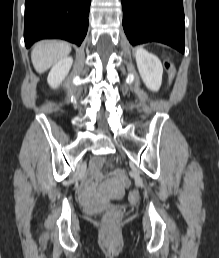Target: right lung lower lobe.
I'll list each match as a JSON object with an SVG mask.
<instances>
[{
    "instance_id": "right-lung-lower-lobe-1",
    "label": "right lung lower lobe",
    "mask_w": 219,
    "mask_h": 258,
    "mask_svg": "<svg viewBox=\"0 0 219 258\" xmlns=\"http://www.w3.org/2000/svg\"><path fill=\"white\" fill-rule=\"evenodd\" d=\"M91 0H26V47L44 38H60L81 45L88 29Z\"/></svg>"
}]
</instances>
